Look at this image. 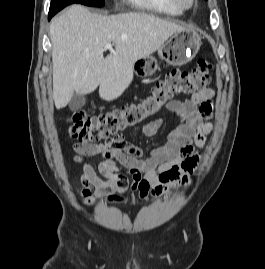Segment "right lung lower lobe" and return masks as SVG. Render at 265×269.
<instances>
[{"label": "right lung lower lobe", "mask_w": 265, "mask_h": 269, "mask_svg": "<svg viewBox=\"0 0 265 269\" xmlns=\"http://www.w3.org/2000/svg\"><path fill=\"white\" fill-rule=\"evenodd\" d=\"M64 7H59V8H50L49 14H48V19L50 20L52 16H54L58 11L63 9Z\"/></svg>", "instance_id": "98d812e1"}]
</instances>
